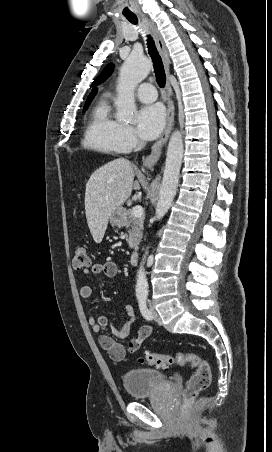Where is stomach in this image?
<instances>
[{
    "label": "stomach",
    "mask_w": 272,
    "mask_h": 452,
    "mask_svg": "<svg viewBox=\"0 0 272 452\" xmlns=\"http://www.w3.org/2000/svg\"><path fill=\"white\" fill-rule=\"evenodd\" d=\"M110 223L114 227L121 228L126 221V210L123 207L116 209L109 218Z\"/></svg>",
    "instance_id": "obj_1"
}]
</instances>
